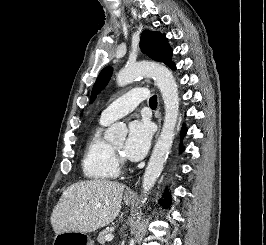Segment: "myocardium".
Wrapping results in <instances>:
<instances>
[{
    "label": "myocardium",
    "mask_w": 266,
    "mask_h": 245,
    "mask_svg": "<svg viewBox=\"0 0 266 245\" xmlns=\"http://www.w3.org/2000/svg\"><path fill=\"white\" fill-rule=\"evenodd\" d=\"M111 150L114 156L115 161L117 162L118 165H124L125 162L122 159V157L119 154V151L117 149H115L113 146H111Z\"/></svg>",
    "instance_id": "f54148a6"
}]
</instances>
